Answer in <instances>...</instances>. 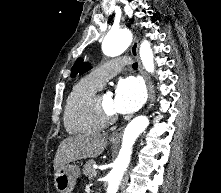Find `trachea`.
<instances>
[{"instance_id":"1","label":"trachea","mask_w":221,"mask_h":193,"mask_svg":"<svg viewBox=\"0 0 221 193\" xmlns=\"http://www.w3.org/2000/svg\"><path fill=\"white\" fill-rule=\"evenodd\" d=\"M132 67L137 69L138 63H133Z\"/></svg>"}]
</instances>
